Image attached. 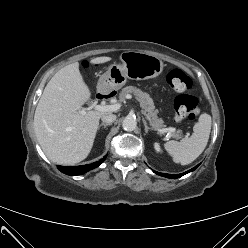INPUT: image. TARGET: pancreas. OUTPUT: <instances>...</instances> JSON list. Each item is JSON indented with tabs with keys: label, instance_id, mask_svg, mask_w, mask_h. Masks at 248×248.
I'll return each mask as SVG.
<instances>
[{
	"label": "pancreas",
	"instance_id": "pancreas-1",
	"mask_svg": "<svg viewBox=\"0 0 248 248\" xmlns=\"http://www.w3.org/2000/svg\"><path fill=\"white\" fill-rule=\"evenodd\" d=\"M130 93L134 94L136 96V99L140 102L141 107L147 113V119L149 120L152 127L158 130L164 129V122L161 118H158L157 111L155 110V106L150 95L134 86H127L123 88L119 94L120 101H124L126 96ZM170 136L174 138H179L180 132H171Z\"/></svg>",
	"mask_w": 248,
	"mask_h": 248
}]
</instances>
